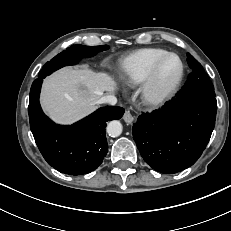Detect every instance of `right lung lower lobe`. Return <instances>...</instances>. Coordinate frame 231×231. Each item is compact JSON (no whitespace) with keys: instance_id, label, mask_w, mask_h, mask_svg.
Instances as JSON below:
<instances>
[{"instance_id":"98d812e1","label":"right lung lower lobe","mask_w":231,"mask_h":231,"mask_svg":"<svg viewBox=\"0 0 231 231\" xmlns=\"http://www.w3.org/2000/svg\"><path fill=\"white\" fill-rule=\"evenodd\" d=\"M42 81L43 78L38 77L33 82L28 106L30 128L41 154L61 173L82 175L94 171L108 152L106 124L112 119H120L124 109L106 106L74 125H57L40 107Z\"/></svg>"}]
</instances>
